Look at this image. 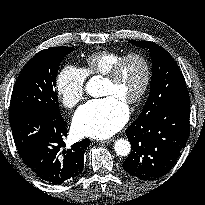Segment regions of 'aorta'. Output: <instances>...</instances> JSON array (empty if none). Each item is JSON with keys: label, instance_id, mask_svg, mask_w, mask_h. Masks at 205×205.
<instances>
[{"label": "aorta", "instance_id": "obj_1", "mask_svg": "<svg viewBox=\"0 0 205 205\" xmlns=\"http://www.w3.org/2000/svg\"><path fill=\"white\" fill-rule=\"evenodd\" d=\"M86 91L92 96H96L98 91L95 90V82L90 81L87 83ZM115 152L120 156H127L131 151V145L128 140L118 139L114 144Z\"/></svg>", "mask_w": 205, "mask_h": 205}]
</instances>
